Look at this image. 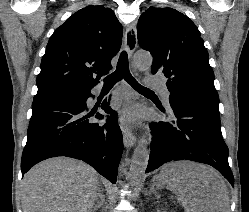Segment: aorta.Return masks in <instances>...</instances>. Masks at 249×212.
Returning <instances> with one entry per match:
<instances>
[{
  "label": "aorta",
  "instance_id": "1",
  "mask_svg": "<svg viewBox=\"0 0 249 212\" xmlns=\"http://www.w3.org/2000/svg\"><path fill=\"white\" fill-rule=\"evenodd\" d=\"M136 68L140 71L150 69L153 58L150 53L138 51L133 57ZM148 144L145 138L140 139L139 145L134 150L131 166H130V181L133 185H138L148 165L149 151L146 147Z\"/></svg>",
  "mask_w": 249,
  "mask_h": 212
}]
</instances>
